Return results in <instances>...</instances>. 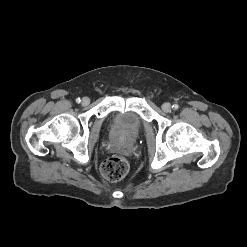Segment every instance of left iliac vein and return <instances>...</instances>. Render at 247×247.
<instances>
[{
  "mask_svg": "<svg viewBox=\"0 0 247 247\" xmlns=\"http://www.w3.org/2000/svg\"><path fill=\"white\" fill-rule=\"evenodd\" d=\"M171 104L170 103H164L163 105H162V110L164 111V112H166V113H168V112H170L171 111Z\"/></svg>",
  "mask_w": 247,
  "mask_h": 247,
  "instance_id": "4c4485c4",
  "label": "left iliac vein"
}]
</instances>
